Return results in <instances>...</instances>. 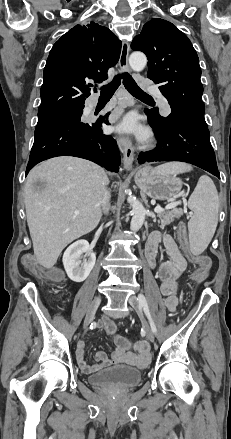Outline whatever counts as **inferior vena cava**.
<instances>
[{
	"instance_id": "602c4592",
	"label": "inferior vena cava",
	"mask_w": 231,
	"mask_h": 439,
	"mask_svg": "<svg viewBox=\"0 0 231 439\" xmlns=\"http://www.w3.org/2000/svg\"><path fill=\"white\" fill-rule=\"evenodd\" d=\"M108 183V179L105 180L104 185ZM101 207L104 213H108L110 207V193L104 188L103 198L101 201Z\"/></svg>"
}]
</instances>
